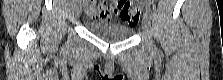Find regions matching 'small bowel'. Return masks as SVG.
<instances>
[{
    "label": "small bowel",
    "instance_id": "obj_1",
    "mask_svg": "<svg viewBox=\"0 0 223 80\" xmlns=\"http://www.w3.org/2000/svg\"><path fill=\"white\" fill-rule=\"evenodd\" d=\"M86 13L91 16L93 19L98 20H109L114 13V10L111 6L104 3H91L86 7Z\"/></svg>",
    "mask_w": 223,
    "mask_h": 80
}]
</instances>
